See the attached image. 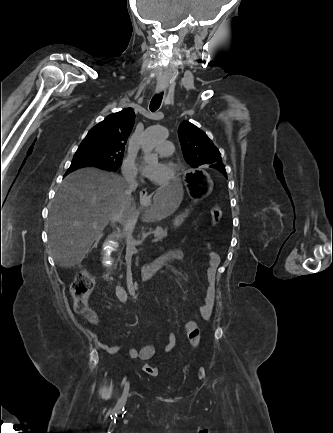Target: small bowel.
<instances>
[{
	"label": "small bowel",
	"mask_w": 333,
	"mask_h": 433,
	"mask_svg": "<svg viewBox=\"0 0 333 433\" xmlns=\"http://www.w3.org/2000/svg\"><path fill=\"white\" fill-rule=\"evenodd\" d=\"M207 248L210 249V245L207 244ZM171 257L177 260H183L185 258V251L183 249H176L171 252ZM220 264V255L216 252L209 251L208 253V263H207V272L209 275L215 274L217 268ZM214 301H215V295L214 290L211 285H208L206 288L205 296L203 299V302L198 307V313L201 318L203 319H209L212 316L213 307H214ZM93 324L97 325L96 318H93ZM197 328V324L193 321H187L184 324L183 332L186 335H189L190 332ZM90 337L93 340L94 344L105 351L108 354H115L119 350V346L117 345H107L102 343L98 335L95 331H90ZM176 344V334L175 333H169L167 336V341L164 346L165 352H170ZM155 354V346L153 343H147L140 349L132 348L130 349V356L132 358H138L143 361H147L151 359Z\"/></svg>",
	"instance_id": "1"
}]
</instances>
